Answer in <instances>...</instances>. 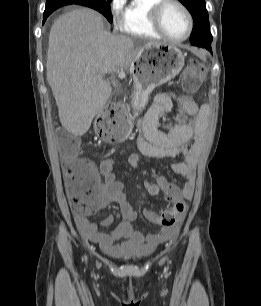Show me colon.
<instances>
[{
    "label": "colon",
    "mask_w": 261,
    "mask_h": 306,
    "mask_svg": "<svg viewBox=\"0 0 261 306\" xmlns=\"http://www.w3.org/2000/svg\"><path fill=\"white\" fill-rule=\"evenodd\" d=\"M204 78V65L196 59H191L186 65V70L181 80L182 87L186 92H192L200 86ZM122 109V105L116 103L107 107L106 111L116 116ZM101 132L113 141H124L129 136V128L123 120H119L114 124H103ZM59 149L65 159L71 161L76 157L79 141L71 135L62 134L59 138ZM96 181L95 169L88 162L72 165L68 169L66 187L71 205L75 211L86 212L92 208ZM185 210V204L178 203L174 210L158 214L153 222L165 227L172 226L176 223L177 216L184 214Z\"/></svg>",
    "instance_id": "obj_1"
}]
</instances>
